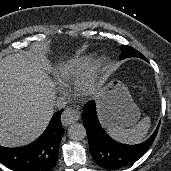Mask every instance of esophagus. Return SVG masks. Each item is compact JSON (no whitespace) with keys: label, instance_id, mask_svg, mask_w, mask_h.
I'll use <instances>...</instances> for the list:
<instances>
[{"label":"esophagus","instance_id":"esophagus-1","mask_svg":"<svg viewBox=\"0 0 171 171\" xmlns=\"http://www.w3.org/2000/svg\"><path fill=\"white\" fill-rule=\"evenodd\" d=\"M79 119V114L72 108H67L61 116V121L64 126L71 125Z\"/></svg>","mask_w":171,"mask_h":171}]
</instances>
